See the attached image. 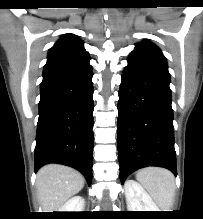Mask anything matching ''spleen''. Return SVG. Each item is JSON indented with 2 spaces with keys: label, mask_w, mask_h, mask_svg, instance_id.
Masks as SVG:
<instances>
[{
  "label": "spleen",
  "mask_w": 203,
  "mask_h": 219,
  "mask_svg": "<svg viewBox=\"0 0 203 219\" xmlns=\"http://www.w3.org/2000/svg\"><path fill=\"white\" fill-rule=\"evenodd\" d=\"M136 179L162 211H169L175 195V179L169 170L157 167L144 168L137 172Z\"/></svg>",
  "instance_id": "3e777b00"
}]
</instances>
